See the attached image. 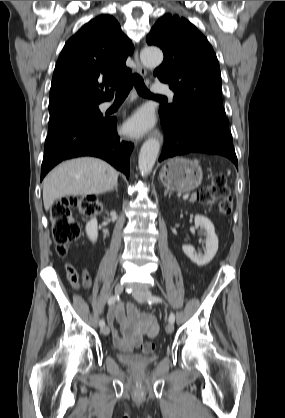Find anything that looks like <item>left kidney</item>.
Listing matches in <instances>:
<instances>
[{"label": "left kidney", "instance_id": "5707ae66", "mask_svg": "<svg viewBox=\"0 0 285 418\" xmlns=\"http://www.w3.org/2000/svg\"><path fill=\"white\" fill-rule=\"evenodd\" d=\"M195 226L201 227L206 236L204 254L197 253L193 246L183 245V252L191 259L192 262L198 266L208 264L216 255L218 250V237L215 233V228L210 219L202 215H195Z\"/></svg>", "mask_w": 285, "mask_h": 418}]
</instances>
